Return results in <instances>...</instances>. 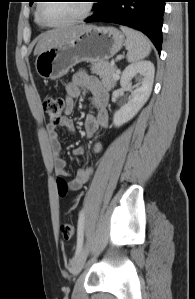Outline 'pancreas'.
Wrapping results in <instances>:
<instances>
[{"label": "pancreas", "mask_w": 195, "mask_h": 299, "mask_svg": "<svg viewBox=\"0 0 195 299\" xmlns=\"http://www.w3.org/2000/svg\"><path fill=\"white\" fill-rule=\"evenodd\" d=\"M91 71L93 74L98 75L102 79L103 85L108 89H112L116 81L119 79L115 78L116 67L108 61H101L97 64H92Z\"/></svg>", "instance_id": "pancreas-1"}]
</instances>
